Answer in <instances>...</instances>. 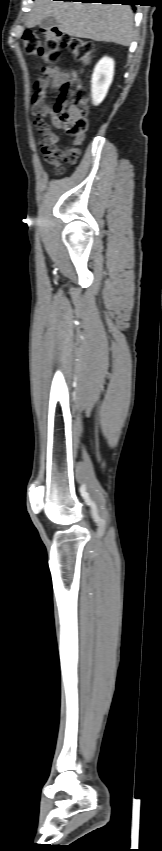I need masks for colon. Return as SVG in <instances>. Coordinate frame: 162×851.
I'll return each mask as SVG.
<instances>
[{
    "label": "colon",
    "instance_id": "obj_1",
    "mask_svg": "<svg viewBox=\"0 0 162 851\" xmlns=\"http://www.w3.org/2000/svg\"><path fill=\"white\" fill-rule=\"evenodd\" d=\"M24 50L28 55L41 58L54 64L60 59L61 50L67 51L74 60L86 64L94 51L91 41L63 33L57 28L43 29L40 33L28 31L23 36ZM87 92L81 81L69 77L63 84L55 105V117L58 125L70 135L75 148L70 152L67 163L73 164L79 157L78 145L81 144L87 130ZM58 173L63 167L58 166Z\"/></svg>",
    "mask_w": 162,
    "mask_h": 851
}]
</instances>
